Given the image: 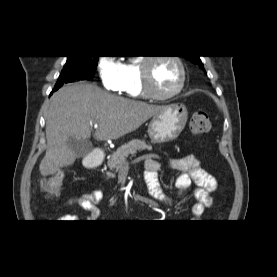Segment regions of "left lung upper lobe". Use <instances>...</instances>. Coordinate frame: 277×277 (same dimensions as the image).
Returning <instances> with one entry per match:
<instances>
[{"instance_id": "left-lung-upper-lobe-1", "label": "left lung upper lobe", "mask_w": 277, "mask_h": 277, "mask_svg": "<svg viewBox=\"0 0 277 277\" xmlns=\"http://www.w3.org/2000/svg\"><path fill=\"white\" fill-rule=\"evenodd\" d=\"M186 58H187L188 60H190L192 63L197 64V65H199L202 69H204L203 63L201 62L199 56H191V57L186 56ZM204 72H205V70H204Z\"/></svg>"}]
</instances>
